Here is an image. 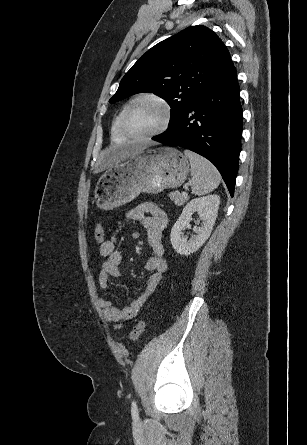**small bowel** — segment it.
<instances>
[{
    "mask_svg": "<svg viewBox=\"0 0 307 445\" xmlns=\"http://www.w3.org/2000/svg\"><path fill=\"white\" fill-rule=\"evenodd\" d=\"M124 220L126 222H138L146 231L152 256L147 260L145 268L151 272V275L145 288L123 308L116 307L108 298L99 300L104 319L114 324L116 328H120L123 322L134 318L138 314L144 303L158 287L167 268L163 245L164 233L168 224L166 213L154 204H142L127 211ZM99 253L104 260L98 275V283L103 290L108 291L110 289V278L120 277L119 266L122 260V252L117 248L116 236L104 241L100 245Z\"/></svg>",
    "mask_w": 307,
    "mask_h": 445,
    "instance_id": "1",
    "label": "small bowel"
}]
</instances>
